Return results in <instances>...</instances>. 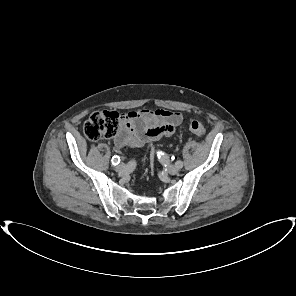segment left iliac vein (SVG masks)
Here are the masks:
<instances>
[{"mask_svg":"<svg viewBox=\"0 0 296 296\" xmlns=\"http://www.w3.org/2000/svg\"><path fill=\"white\" fill-rule=\"evenodd\" d=\"M179 167L178 166H176V165H167L166 167H165V170L169 173V174H172V175H174V174H177L178 173V171H179Z\"/></svg>","mask_w":296,"mask_h":296,"instance_id":"1","label":"left iliac vein"}]
</instances>
